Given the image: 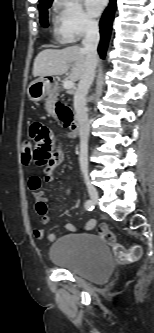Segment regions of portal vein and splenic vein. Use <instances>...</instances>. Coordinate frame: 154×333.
<instances>
[{
    "label": "portal vein and splenic vein",
    "mask_w": 154,
    "mask_h": 333,
    "mask_svg": "<svg viewBox=\"0 0 154 333\" xmlns=\"http://www.w3.org/2000/svg\"><path fill=\"white\" fill-rule=\"evenodd\" d=\"M74 87V81L72 80H66L63 82V88L64 89H72Z\"/></svg>",
    "instance_id": "obj_1"
}]
</instances>
